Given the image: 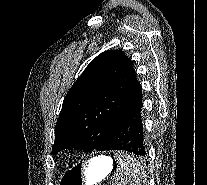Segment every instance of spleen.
Returning a JSON list of instances; mask_svg holds the SVG:
<instances>
[{
    "instance_id": "1",
    "label": "spleen",
    "mask_w": 207,
    "mask_h": 185,
    "mask_svg": "<svg viewBox=\"0 0 207 185\" xmlns=\"http://www.w3.org/2000/svg\"><path fill=\"white\" fill-rule=\"evenodd\" d=\"M120 156L125 158L116 159L119 169L110 178V185H141L143 179H147L143 163H138V159H128L131 151H120Z\"/></svg>"
}]
</instances>
